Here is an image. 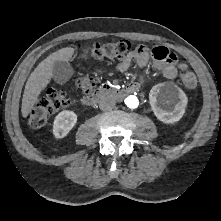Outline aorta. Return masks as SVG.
<instances>
[{
    "label": "aorta",
    "mask_w": 221,
    "mask_h": 221,
    "mask_svg": "<svg viewBox=\"0 0 221 221\" xmlns=\"http://www.w3.org/2000/svg\"><path fill=\"white\" fill-rule=\"evenodd\" d=\"M125 104L127 105V107L131 108V109H135L138 107L139 105V100L136 96L134 95H130L125 99Z\"/></svg>",
    "instance_id": "762f6f07"
}]
</instances>
